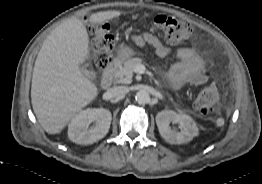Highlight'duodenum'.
<instances>
[{
	"mask_svg": "<svg viewBox=\"0 0 262 184\" xmlns=\"http://www.w3.org/2000/svg\"><path fill=\"white\" fill-rule=\"evenodd\" d=\"M119 60L114 59L110 64L105 68L102 79L101 86L103 89L107 90L112 86L113 83V72L115 68L118 66Z\"/></svg>",
	"mask_w": 262,
	"mask_h": 184,
	"instance_id": "duodenum-1",
	"label": "duodenum"
}]
</instances>
